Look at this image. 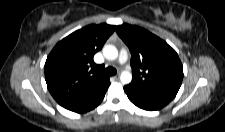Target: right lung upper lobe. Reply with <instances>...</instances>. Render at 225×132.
<instances>
[{
  "instance_id": "1",
  "label": "right lung upper lobe",
  "mask_w": 225,
  "mask_h": 132,
  "mask_svg": "<svg viewBox=\"0 0 225 132\" xmlns=\"http://www.w3.org/2000/svg\"><path fill=\"white\" fill-rule=\"evenodd\" d=\"M116 26L89 25L70 34L53 48L45 63V80L64 108L82 113L95 108L110 85L104 66L93 61Z\"/></svg>"
}]
</instances>
